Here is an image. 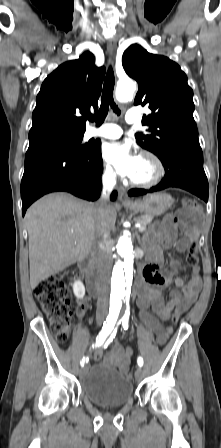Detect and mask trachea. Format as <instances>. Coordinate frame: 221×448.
Wrapping results in <instances>:
<instances>
[{
  "instance_id": "trachea-1",
  "label": "trachea",
  "mask_w": 221,
  "mask_h": 448,
  "mask_svg": "<svg viewBox=\"0 0 221 448\" xmlns=\"http://www.w3.org/2000/svg\"><path fill=\"white\" fill-rule=\"evenodd\" d=\"M114 84V72L112 67L110 66L103 86L99 111L95 115L89 117V120L95 121L97 125H101L104 122L108 114L109 106H111V108L117 115L121 114V111L119 110L113 99Z\"/></svg>"
}]
</instances>
